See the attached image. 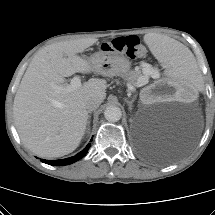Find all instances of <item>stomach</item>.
<instances>
[{
    "mask_svg": "<svg viewBox=\"0 0 215 215\" xmlns=\"http://www.w3.org/2000/svg\"><path fill=\"white\" fill-rule=\"evenodd\" d=\"M93 70L103 76H121L128 78L131 75V63L122 55H113L106 51H99L87 58Z\"/></svg>",
    "mask_w": 215,
    "mask_h": 215,
    "instance_id": "obj_1",
    "label": "stomach"
}]
</instances>
